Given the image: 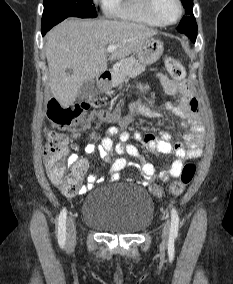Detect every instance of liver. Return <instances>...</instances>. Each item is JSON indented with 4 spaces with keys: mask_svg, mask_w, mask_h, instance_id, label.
Segmentation results:
<instances>
[{
    "mask_svg": "<svg viewBox=\"0 0 233 284\" xmlns=\"http://www.w3.org/2000/svg\"><path fill=\"white\" fill-rule=\"evenodd\" d=\"M156 34L149 27L127 21H63L46 36L51 93L62 107L72 105L84 81L107 70V46H116L109 59L119 60L138 51ZM66 69L72 73H66Z\"/></svg>",
    "mask_w": 233,
    "mask_h": 284,
    "instance_id": "1",
    "label": "liver"
}]
</instances>
